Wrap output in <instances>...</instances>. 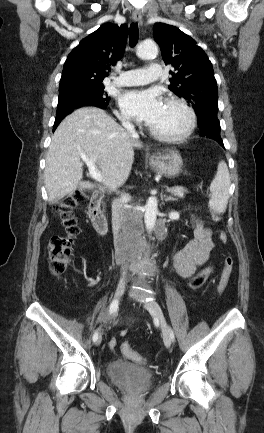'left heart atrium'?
Returning a JSON list of instances; mask_svg holds the SVG:
<instances>
[{"mask_svg":"<svg viewBox=\"0 0 264 433\" xmlns=\"http://www.w3.org/2000/svg\"><path fill=\"white\" fill-rule=\"evenodd\" d=\"M119 103L127 115L148 125L158 119L164 106L160 94L152 89L127 91L121 95Z\"/></svg>","mask_w":264,"mask_h":433,"instance_id":"39dd6f15","label":"left heart atrium"}]
</instances>
